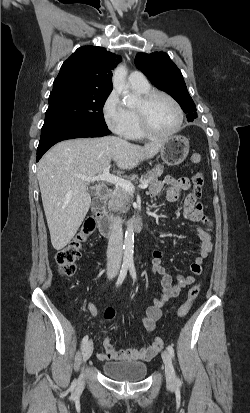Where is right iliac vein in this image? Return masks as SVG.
<instances>
[{
    "label": "right iliac vein",
    "mask_w": 250,
    "mask_h": 413,
    "mask_svg": "<svg viewBox=\"0 0 250 413\" xmlns=\"http://www.w3.org/2000/svg\"><path fill=\"white\" fill-rule=\"evenodd\" d=\"M114 274H111L110 277H113ZM93 352V343L92 341H88L82 349V355H83V361L86 362L90 356L92 355Z\"/></svg>",
    "instance_id": "obj_1"
}]
</instances>
